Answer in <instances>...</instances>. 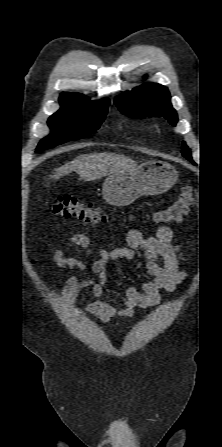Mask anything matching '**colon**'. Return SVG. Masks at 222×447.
Returning <instances> with one entry per match:
<instances>
[{
    "label": "colon",
    "mask_w": 222,
    "mask_h": 447,
    "mask_svg": "<svg viewBox=\"0 0 222 447\" xmlns=\"http://www.w3.org/2000/svg\"><path fill=\"white\" fill-rule=\"evenodd\" d=\"M193 189L191 186L182 188L178 198L166 209L156 213L153 221L157 224L178 223L188 213L193 203ZM50 213L64 218H75L86 223H99L105 219L99 206L90 200H81L75 196H62L51 203Z\"/></svg>",
    "instance_id": "colon-1"
}]
</instances>
